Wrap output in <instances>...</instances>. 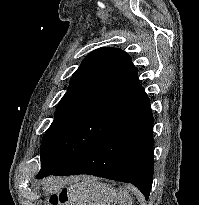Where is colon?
<instances>
[{"mask_svg":"<svg viewBox=\"0 0 199 205\" xmlns=\"http://www.w3.org/2000/svg\"><path fill=\"white\" fill-rule=\"evenodd\" d=\"M51 204H52V205H58V202H57V200H53V201L51 202Z\"/></svg>","mask_w":199,"mask_h":205,"instance_id":"5ec220e1","label":"colon"}]
</instances>
